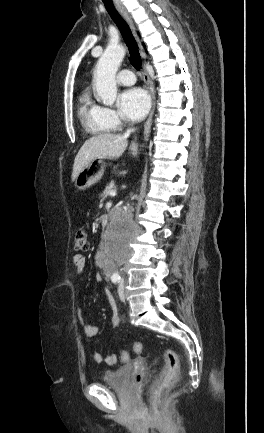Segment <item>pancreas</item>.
<instances>
[{"label": "pancreas", "mask_w": 264, "mask_h": 433, "mask_svg": "<svg viewBox=\"0 0 264 433\" xmlns=\"http://www.w3.org/2000/svg\"><path fill=\"white\" fill-rule=\"evenodd\" d=\"M115 190H116V186L115 183L112 181L106 186L105 190L101 194V200L102 201L105 200L110 195V192Z\"/></svg>", "instance_id": "1"}]
</instances>
